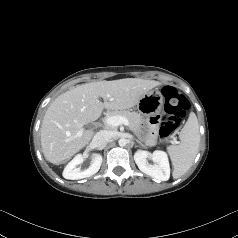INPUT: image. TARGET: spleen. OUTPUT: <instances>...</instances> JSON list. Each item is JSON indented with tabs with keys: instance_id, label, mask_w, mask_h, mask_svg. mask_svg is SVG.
Masks as SVG:
<instances>
[{
	"instance_id": "obj_1",
	"label": "spleen",
	"mask_w": 238,
	"mask_h": 238,
	"mask_svg": "<svg viewBox=\"0 0 238 238\" xmlns=\"http://www.w3.org/2000/svg\"><path fill=\"white\" fill-rule=\"evenodd\" d=\"M179 138V145H171L167 148L174 167V178L181 177L190 169L198 153L200 133L195 113H190L186 124L179 134Z\"/></svg>"
}]
</instances>
